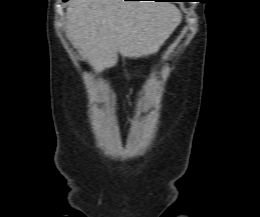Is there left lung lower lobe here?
<instances>
[{
  "instance_id": "0a47b994",
  "label": "left lung lower lobe",
  "mask_w": 260,
  "mask_h": 217,
  "mask_svg": "<svg viewBox=\"0 0 260 217\" xmlns=\"http://www.w3.org/2000/svg\"><path fill=\"white\" fill-rule=\"evenodd\" d=\"M157 1H169V0H157Z\"/></svg>"
}]
</instances>
